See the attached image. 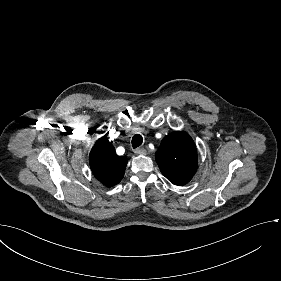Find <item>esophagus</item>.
Returning a JSON list of instances; mask_svg holds the SVG:
<instances>
[{"instance_id":"34e87169","label":"esophagus","mask_w":281,"mask_h":281,"mask_svg":"<svg viewBox=\"0 0 281 281\" xmlns=\"http://www.w3.org/2000/svg\"><path fill=\"white\" fill-rule=\"evenodd\" d=\"M135 154H137V155H146V154H147V151H146L145 148H137V149L135 150Z\"/></svg>"}]
</instances>
